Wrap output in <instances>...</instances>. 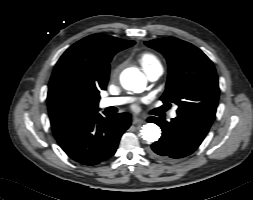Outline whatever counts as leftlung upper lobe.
Masks as SVG:
<instances>
[{"mask_svg":"<svg viewBox=\"0 0 253 200\" xmlns=\"http://www.w3.org/2000/svg\"><path fill=\"white\" fill-rule=\"evenodd\" d=\"M161 52L169 73L163 103L178 106L177 114H195L214 120L219 98L216 70L211 60L194 45L174 37L146 41Z\"/></svg>","mask_w":253,"mask_h":200,"instance_id":"1","label":"left lung upper lobe"}]
</instances>
